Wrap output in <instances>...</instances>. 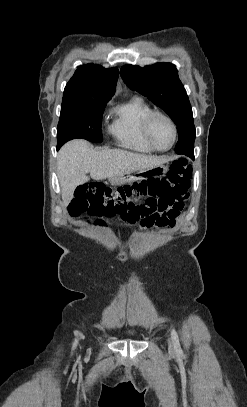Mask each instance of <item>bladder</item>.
<instances>
[{
	"label": "bladder",
	"instance_id": "obj_1",
	"mask_svg": "<svg viewBox=\"0 0 247 407\" xmlns=\"http://www.w3.org/2000/svg\"><path fill=\"white\" fill-rule=\"evenodd\" d=\"M126 334H127V335H130V336H136V332H135V331H128V332H126Z\"/></svg>",
	"mask_w": 247,
	"mask_h": 407
}]
</instances>
